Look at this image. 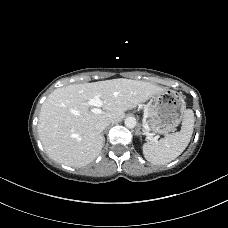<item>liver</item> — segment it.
I'll list each match as a JSON object with an SVG mask.
<instances>
[{
  "label": "liver",
  "mask_w": 228,
  "mask_h": 228,
  "mask_svg": "<svg viewBox=\"0 0 228 228\" xmlns=\"http://www.w3.org/2000/svg\"><path fill=\"white\" fill-rule=\"evenodd\" d=\"M166 89L151 82L112 79L72 84L55 89L41 107L38 134L50 158L72 167H83L101 152L104 138L95 125L118 122L135 108ZM99 96L103 111L93 113L87 101Z\"/></svg>",
  "instance_id": "liver-1"
}]
</instances>
